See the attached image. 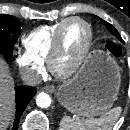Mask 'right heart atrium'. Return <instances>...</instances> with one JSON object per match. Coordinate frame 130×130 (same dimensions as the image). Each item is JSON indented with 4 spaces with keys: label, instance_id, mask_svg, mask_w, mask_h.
Wrapping results in <instances>:
<instances>
[{
    "label": "right heart atrium",
    "instance_id": "right-heart-atrium-1",
    "mask_svg": "<svg viewBox=\"0 0 130 130\" xmlns=\"http://www.w3.org/2000/svg\"><path fill=\"white\" fill-rule=\"evenodd\" d=\"M15 63L24 79L32 84L37 83L45 72L44 62L32 57L26 51L17 52Z\"/></svg>",
    "mask_w": 130,
    "mask_h": 130
}]
</instances>
